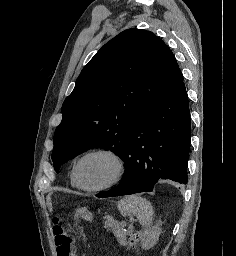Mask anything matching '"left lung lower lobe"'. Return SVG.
Instances as JSON below:
<instances>
[{"label": "left lung lower lobe", "instance_id": "obj_1", "mask_svg": "<svg viewBox=\"0 0 236 256\" xmlns=\"http://www.w3.org/2000/svg\"><path fill=\"white\" fill-rule=\"evenodd\" d=\"M191 121L183 80L151 105L133 126L118 186L100 198L152 191L161 179L187 183Z\"/></svg>", "mask_w": 236, "mask_h": 256}]
</instances>
